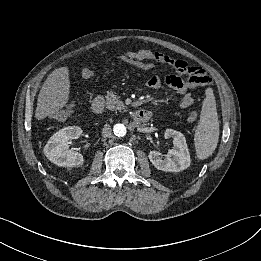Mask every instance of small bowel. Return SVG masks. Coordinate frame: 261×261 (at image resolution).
Returning a JSON list of instances; mask_svg holds the SVG:
<instances>
[{
  "mask_svg": "<svg viewBox=\"0 0 261 261\" xmlns=\"http://www.w3.org/2000/svg\"><path fill=\"white\" fill-rule=\"evenodd\" d=\"M124 61L142 69H150L158 62L171 65L174 59L163 53H155L150 50L142 49L138 51H127L124 55ZM145 63H149V66H145ZM93 74L94 69L92 67H86L82 70V77L84 79L91 78ZM163 86L174 90L180 96V101L178 103L179 109H187L193 105L194 97L189 90L194 89L195 86L183 81L177 75H168L164 78L153 75L148 80V87L152 90H158Z\"/></svg>",
  "mask_w": 261,
  "mask_h": 261,
  "instance_id": "obj_1",
  "label": "small bowel"
}]
</instances>
